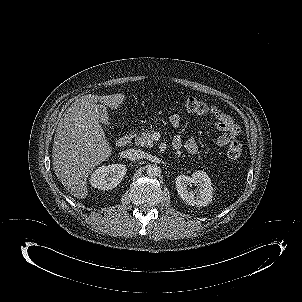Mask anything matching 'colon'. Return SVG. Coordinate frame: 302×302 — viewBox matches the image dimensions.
<instances>
[{"label": "colon", "instance_id": "obj_1", "mask_svg": "<svg viewBox=\"0 0 302 302\" xmlns=\"http://www.w3.org/2000/svg\"><path fill=\"white\" fill-rule=\"evenodd\" d=\"M186 108L189 111L195 112L198 115L215 114L217 108L213 105L206 104L194 97H189L186 100ZM242 150V144L238 140H233L230 143L229 153L231 157H239Z\"/></svg>", "mask_w": 302, "mask_h": 302}]
</instances>
